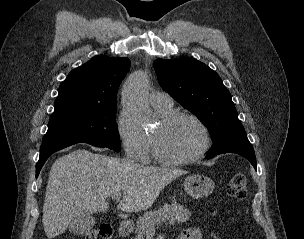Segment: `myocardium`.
Masks as SVG:
<instances>
[{
  "mask_svg": "<svg viewBox=\"0 0 304 239\" xmlns=\"http://www.w3.org/2000/svg\"><path fill=\"white\" fill-rule=\"evenodd\" d=\"M181 118H188L195 122L200 128L203 136V143L200 149L193 155L185 158H171L164 155L159 148V132L151 135L152 151L155 160L167 165H187L200 160L211 146V136L207 125L195 114L188 111H174L173 113L162 118L159 131L165 130Z\"/></svg>",
  "mask_w": 304,
  "mask_h": 239,
  "instance_id": "1",
  "label": "myocardium"
}]
</instances>
